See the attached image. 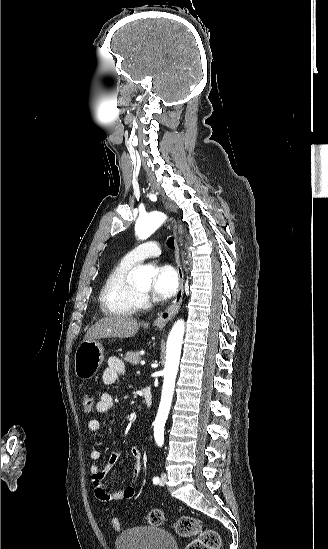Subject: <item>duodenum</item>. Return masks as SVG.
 I'll return each instance as SVG.
<instances>
[{
	"label": "duodenum",
	"mask_w": 328,
	"mask_h": 549,
	"mask_svg": "<svg viewBox=\"0 0 328 549\" xmlns=\"http://www.w3.org/2000/svg\"><path fill=\"white\" fill-rule=\"evenodd\" d=\"M142 396L145 400L146 405L148 407H150L152 405V402H153V397H152V392H151L149 387L142 388Z\"/></svg>",
	"instance_id": "410a0bca"
}]
</instances>
